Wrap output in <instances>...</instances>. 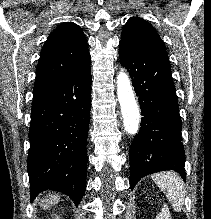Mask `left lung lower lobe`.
<instances>
[{"label":"left lung lower lobe","mask_w":211,"mask_h":219,"mask_svg":"<svg viewBox=\"0 0 211 219\" xmlns=\"http://www.w3.org/2000/svg\"><path fill=\"white\" fill-rule=\"evenodd\" d=\"M119 58L132 78L143 115L130 148L131 190L142 177L163 170H175L185 179L182 122L167 52L120 41Z\"/></svg>","instance_id":"0a47b994"}]
</instances>
